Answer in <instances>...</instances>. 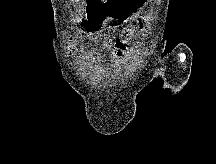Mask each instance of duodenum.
Returning a JSON list of instances; mask_svg holds the SVG:
<instances>
[{
    "instance_id": "410a0bca",
    "label": "duodenum",
    "mask_w": 216,
    "mask_h": 164,
    "mask_svg": "<svg viewBox=\"0 0 216 164\" xmlns=\"http://www.w3.org/2000/svg\"><path fill=\"white\" fill-rule=\"evenodd\" d=\"M90 9H101V7H106L107 0H87Z\"/></svg>"
}]
</instances>
